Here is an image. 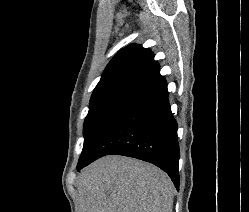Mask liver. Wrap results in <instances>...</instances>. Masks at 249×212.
Masks as SVG:
<instances>
[{"label": "liver", "mask_w": 249, "mask_h": 212, "mask_svg": "<svg viewBox=\"0 0 249 212\" xmlns=\"http://www.w3.org/2000/svg\"><path fill=\"white\" fill-rule=\"evenodd\" d=\"M78 212H172L173 184L135 158L105 156L81 170Z\"/></svg>", "instance_id": "obj_1"}]
</instances>
